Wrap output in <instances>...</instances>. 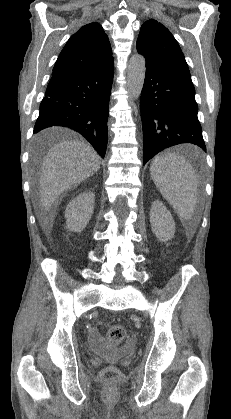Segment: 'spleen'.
<instances>
[{"label":"spleen","mask_w":231,"mask_h":419,"mask_svg":"<svg viewBox=\"0 0 231 419\" xmlns=\"http://www.w3.org/2000/svg\"><path fill=\"white\" fill-rule=\"evenodd\" d=\"M150 174L177 214L184 220L191 219L197 202L198 182L190 163L180 155L164 152L153 158Z\"/></svg>","instance_id":"1"}]
</instances>
